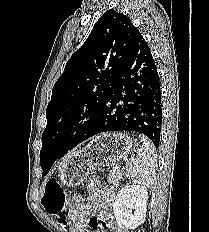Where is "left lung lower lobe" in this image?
<instances>
[{"instance_id": "obj_1", "label": "left lung lower lobe", "mask_w": 209, "mask_h": 232, "mask_svg": "<svg viewBox=\"0 0 209 232\" xmlns=\"http://www.w3.org/2000/svg\"><path fill=\"white\" fill-rule=\"evenodd\" d=\"M161 125L160 79L151 51L141 37L81 142L102 132L134 131L146 135L158 148Z\"/></svg>"}]
</instances>
